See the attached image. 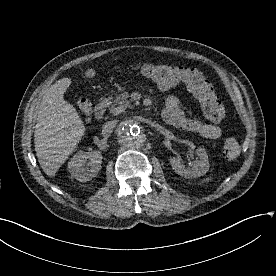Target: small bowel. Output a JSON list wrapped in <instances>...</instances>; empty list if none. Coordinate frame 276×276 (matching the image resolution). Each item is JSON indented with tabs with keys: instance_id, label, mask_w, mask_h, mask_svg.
<instances>
[{
	"instance_id": "c3829d8e",
	"label": "small bowel",
	"mask_w": 276,
	"mask_h": 276,
	"mask_svg": "<svg viewBox=\"0 0 276 276\" xmlns=\"http://www.w3.org/2000/svg\"><path fill=\"white\" fill-rule=\"evenodd\" d=\"M162 117L174 127L197 133L207 139H218L222 133L219 126L197 119L183 110L180 100L175 96L167 98Z\"/></svg>"
}]
</instances>
